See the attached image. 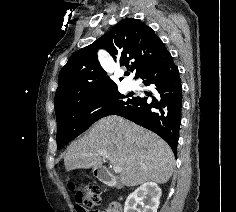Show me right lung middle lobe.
Masks as SVG:
<instances>
[{"label":"right lung middle lobe","mask_w":236,"mask_h":212,"mask_svg":"<svg viewBox=\"0 0 236 212\" xmlns=\"http://www.w3.org/2000/svg\"><path fill=\"white\" fill-rule=\"evenodd\" d=\"M128 97L116 88L83 97L56 111L57 149L72 141L100 118L112 115L130 104L134 97Z\"/></svg>","instance_id":"obj_1"}]
</instances>
